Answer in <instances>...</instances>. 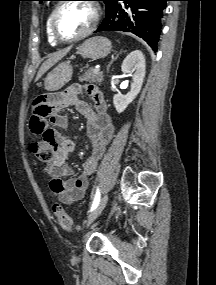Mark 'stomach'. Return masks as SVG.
<instances>
[{
	"instance_id": "stomach-1",
	"label": "stomach",
	"mask_w": 216,
	"mask_h": 285,
	"mask_svg": "<svg viewBox=\"0 0 216 285\" xmlns=\"http://www.w3.org/2000/svg\"><path fill=\"white\" fill-rule=\"evenodd\" d=\"M111 42L106 37L96 36L87 39L79 46L78 53L83 58L93 60L106 57L111 51ZM73 67L69 61L60 63L45 79V89L48 91H58L66 85L72 78Z\"/></svg>"
}]
</instances>
